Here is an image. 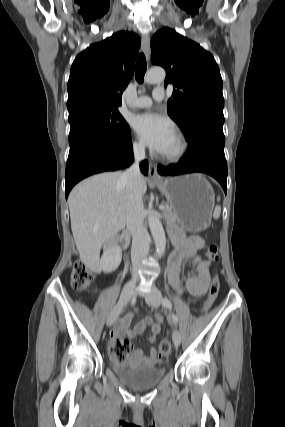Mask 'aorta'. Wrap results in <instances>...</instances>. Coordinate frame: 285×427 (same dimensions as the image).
Wrapping results in <instances>:
<instances>
[{
  "instance_id": "762f6f07",
  "label": "aorta",
  "mask_w": 285,
  "mask_h": 427,
  "mask_svg": "<svg viewBox=\"0 0 285 427\" xmlns=\"http://www.w3.org/2000/svg\"><path fill=\"white\" fill-rule=\"evenodd\" d=\"M165 70L161 67L151 68L145 75V82L148 84H158L164 81ZM148 224L155 242L156 254L161 257L165 252L166 238L163 226L159 218L155 215H149Z\"/></svg>"
}]
</instances>
